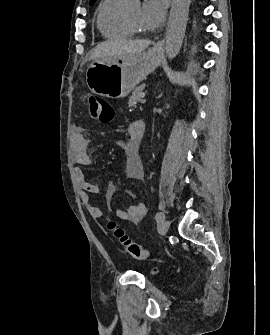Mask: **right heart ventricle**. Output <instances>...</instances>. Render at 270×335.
I'll list each match as a JSON object with an SVG mask.
<instances>
[{
	"instance_id": "right-heart-ventricle-1",
	"label": "right heart ventricle",
	"mask_w": 270,
	"mask_h": 335,
	"mask_svg": "<svg viewBox=\"0 0 270 335\" xmlns=\"http://www.w3.org/2000/svg\"><path fill=\"white\" fill-rule=\"evenodd\" d=\"M124 2L125 0H104L97 9V29L107 39H126L134 34L124 23V16L120 12Z\"/></svg>"
}]
</instances>
